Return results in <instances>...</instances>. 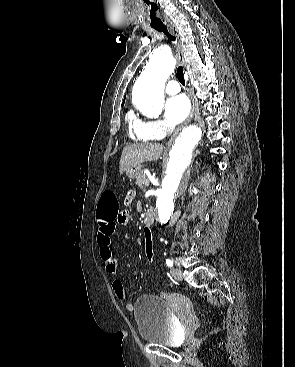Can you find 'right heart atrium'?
Wrapping results in <instances>:
<instances>
[{
    "label": "right heart atrium",
    "mask_w": 295,
    "mask_h": 367,
    "mask_svg": "<svg viewBox=\"0 0 295 367\" xmlns=\"http://www.w3.org/2000/svg\"><path fill=\"white\" fill-rule=\"evenodd\" d=\"M143 128L150 139H162L172 132V127L161 119L145 121Z\"/></svg>",
    "instance_id": "1"
}]
</instances>
